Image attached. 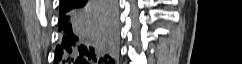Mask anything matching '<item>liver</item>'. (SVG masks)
Instances as JSON below:
<instances>
[{
	"label": "liver",
	"instance_id": "1",
	"mask_svg": "<svg viewBox=\"0 0 242 64\" xmlns=\"http://www.w3.org/2000/svg\"><path fill=\"white\" fill-rule=\"evenodd\" d=\"M97 25H98V28H99V30H100V31H102V32H104V31H105L103 28H101V27L99 26V24H98V23H97Z\"/></svg>",
	"mask_w": 242,
	"mask_h": 64
}]
</instances>
